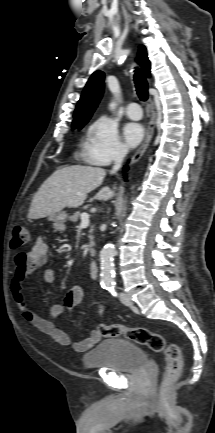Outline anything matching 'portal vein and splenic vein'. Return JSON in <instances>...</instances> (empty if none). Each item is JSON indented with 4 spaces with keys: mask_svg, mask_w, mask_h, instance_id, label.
<instances>
[{
    "mask_svg": "<svg viewBox=\"0 0 215 433\" xmlns=\"http://www.w3.org/2000/svg\"><path fill=\"white\" fill-rule=\"evenodd\" d=\"M89 225V216L88 214L84 213L81 216V226L87 227Z\"/></svg>",
    "mask_w": 215,
    "mask_h": 433,
    "instance_id": "obj_1",
    "label": "portal vein and splenic vein"
}]
</instances>
